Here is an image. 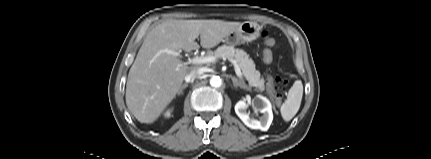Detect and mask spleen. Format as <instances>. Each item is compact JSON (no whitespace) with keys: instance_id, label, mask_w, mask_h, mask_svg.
<instances>
[{"instance_id":"obj_1","label":"spleen","mask_w":431,"mask_h":159,"mask_svg":"<svg viewBox=\"0 0 431 159\" xmlns=\"http://www.w3.org/2000/svg\"><path fill=\"white\" fill-rule=\"evenodd\" d=\"M303 96V84L300 80L294 82L288 92L286 101L280 108L281 116L284 121H290L298 112Z\"/></svg>"}]
</instances>
